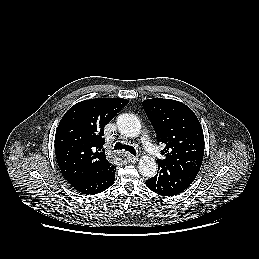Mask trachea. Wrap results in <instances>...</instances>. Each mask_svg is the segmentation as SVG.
Instances as JSON below:
<instances>
[{
	"label": "trachea",
	"mask_w": 259,
	"mask_h": 259,
	"mask_svg": "<svg viewBox=\"0 0 259 259\" xmlns=\"http://www.w3.org/2000/svg\"><path fill=\"white\" fill-rule=\"evenodd\" d=\"M122 149H124L125 151L130 152L133 155H136V151H135V149L132 146L125 145V144H122L120 142H117L115 144V146H114V150H122Z\"/></svg>",
	"instance_id": "3493384b"
}]
</instances>
